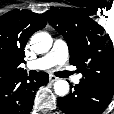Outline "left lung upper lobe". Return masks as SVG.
Instances as JSON below:
<instances>
[{"instance_id": "1", "label": "left lung upper lobe", "mask_w": 114, "mask_h": 114, "mask_svg": "<svg viewBox=\"0 0 114 114\" xmlns=\"http://www.w3.org/2000/svg\"><path fill=\"white\" fill-rule=\"evenodd\" d=\"M44 14L67 41L70 64L83 74L81 80L114 88V48L103 34V28L71 8L53 9Z\"/></svg>"}]
</instances>
